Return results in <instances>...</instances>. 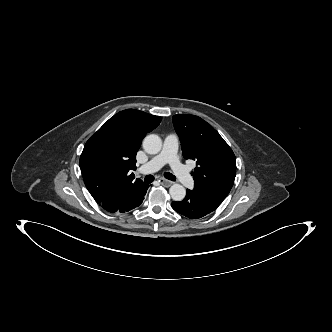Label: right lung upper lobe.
<instances>
[{"mask_svg":"<svg viewBox=\"0 0 332 332\" xmlns=\"http://www.w3.org/2000/svg\"><path fill=\"white\" fill-rule=\"evenodd\" d=\"M161 122L139 110H123L111 117L86 142L80 156L84 183L97 203L119 199L143 181H133L136 153L146 133Z\"/></svg>","mask_w":332,"mask_h":332,"instance_id":"cb5924a9","label":"right lung upper lobe"}]
</instances>
